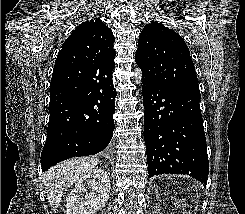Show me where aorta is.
<instances>
[{"label": "aorta", "mask_w": 245, "mask_h": 214, "mask_svg": "<svg viewBox=\"0 0 245 214\" xmlns=\"http://www.w3.org/2000/svg\"><path fill=\"white\" fill-rule=\"evenodd\" d=\"M135 82L137 84L142 83V71L139 68L135 70Z\"/></svg>", "instance_id": "obj_1"}]
</instances>
